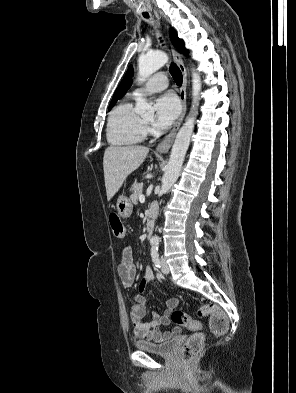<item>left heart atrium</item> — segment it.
<instances>
[{
	"instance_id": "39dd6f15",
	"label": "left heart atrium",
	"mask_w": 296,
	"mask_h": 393,
	"mask_svg": "<svg viewBox=\"0 0 296 393\" xmlns=\"http://www.w3.org/2000/svg\"><path fill=\"white\" fill-rule=\"evenodd\" d=\"M179 112V102L172 93L160 96L155 102V126L160 129L168 128L174 122Z\"/></svg>"
}]
</instances>
